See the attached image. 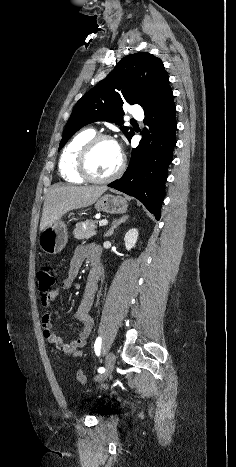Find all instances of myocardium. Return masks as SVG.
<instances>
[{
    "label": "myocardium",
    "instance_id": "obj_1",
    "mask_svg": "<svg viewBox=\"0 0 236 467\" xmlns=\"http://www.w3.org/2000/svg\"><path fill=\"white\" fill-rule=\"evenodd\" d=\"M101 141H111V142L116 143L113 137H111L110 135L95 134L81 147L78 153V156H77V171L81 177H83L85 180L89 182H94V183L110 182L116 179L118 176H120L125 168V158L123 154L121 153L120 163L117 169L113 173H111L110 175L106 177H98L92 173L90 169V157L95 146Z\"/></svg>",
    "mask_w": 236,
    "mask_h": 467
}]
</instances>
